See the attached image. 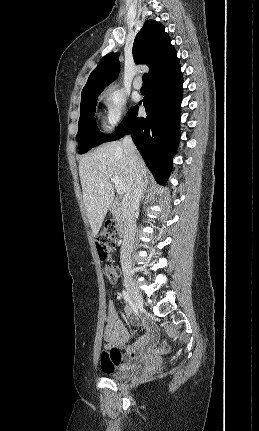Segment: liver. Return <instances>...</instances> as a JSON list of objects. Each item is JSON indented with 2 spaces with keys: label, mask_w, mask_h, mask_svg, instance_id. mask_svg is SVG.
I'll list each match as a JSON object with an SVG mask.
<instances>
[{
  "label": "liver",
  "mask_w": 259,
  "mask_h": 431,
  "mask_svg": "<svg viewBox=\"0 0 259 431\" xmlns=\"http://www.w3.org/2000/svg\"><path fill=\"white\" fill-rule=\"evenodd\" d=\"M140 169L146 178L147 168L140 157ZM79 175L83 201L92 233L96 236L102 226L108 209L114 200L111 178L116 176L127 193L132 185V175L121 141H114L97 147L79 162Z\"/></svg>",
  "instance_id": "liver-1"
}]
</instances>
